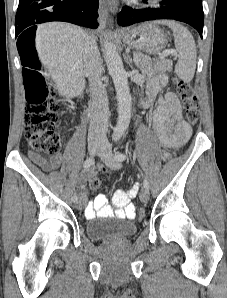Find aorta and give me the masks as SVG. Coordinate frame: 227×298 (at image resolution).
Here are the masks:
<instances>
[{
    "instance_id": "1",
    "label": "aorta",
    "mask_w": 227,
    "mask_h": 298,
    "mask_svg": "<svg viewBox=\"0 0 227 298\" xmlns=\"http://www.w3.org/2000/svg\"><path fill=\"white\" fill-rule=\"evenodd\" d=\"M105 56L108 72L112 77L117 101L118 121L114 131L115 137H121L129 126L131 118L132 100L128 85L127 72L124 69L122 59L111 42L105 43Z\"/></svg>"
}]
</instances>
